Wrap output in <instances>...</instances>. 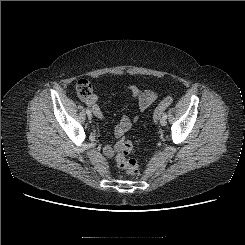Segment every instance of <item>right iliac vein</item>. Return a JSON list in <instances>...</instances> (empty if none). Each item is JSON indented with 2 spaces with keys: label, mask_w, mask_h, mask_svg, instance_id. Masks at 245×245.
<instances>
[{
  "label": "right iliac vein",
  "mask_w": 245,
  "mask_h": 245,
  "mask_svg": "<svg viewBox=\"0 0 245 245\" xmlns=\"http://www.w3.org/2000/svg\"><path fill=\"white\" fill-rule=\"evenodd\" d=\"M87 116H88V119H92V114L91 113L87 114Z\"/></svg>",
  "instance_id": "right-iliac-vein-1"
}]
</instances>
